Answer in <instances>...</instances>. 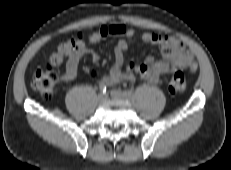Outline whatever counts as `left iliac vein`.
Segmentation results:
<instances>
[{"label": "left iliac vein", "instance_id": "1", "mask_svg": "<svg viewBox=\"0 0 231 170\" xmlns=\"http://www.w3.org/2000/svg\"><path fill=\"white\" fill-rule=\"evenodd\" d=\"M110 96L114 99H125L127 98L124 93L120 90L113 89L110 91Z\"/></svg>", "mask_w": 231, "mask_h": 170}]
</instances>
